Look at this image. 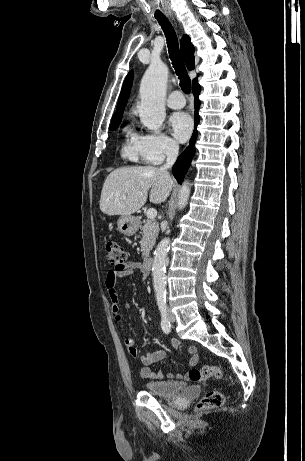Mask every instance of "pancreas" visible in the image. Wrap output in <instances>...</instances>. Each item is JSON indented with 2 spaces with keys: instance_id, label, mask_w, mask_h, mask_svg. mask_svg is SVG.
Wrapping results in <instances>:
<instances>
[{
  "instance_id": "1",
  "label": "pancreas",
  "mask_w": 305,
  "mask_h": 461,
  "mask_svg": "<svg viewBox=\"0 0 305 461\" xmlns=\"http://www.w3.org/2000/svg\"><path fill=\"white\" fill-rule=\"evenodd\" d=\"M142 238L140 241L142 257L146 258L149 256L150 251L152 250L156 238L159 233L158 224L154 220H147L144 222V225L141 227Z\"/></svg>"
}]
</instances>
